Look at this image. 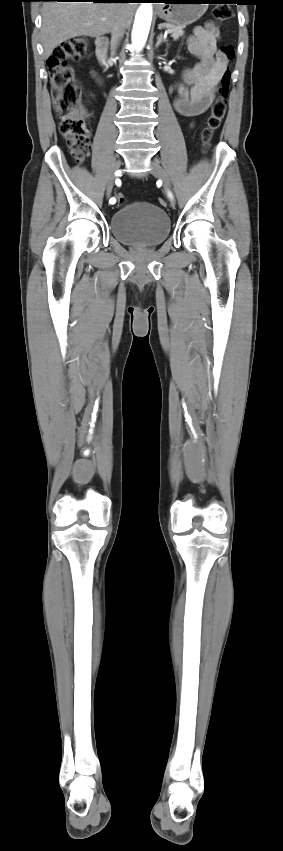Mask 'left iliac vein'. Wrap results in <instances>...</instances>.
<instances>
[{
    "instance_id": "left-iliac-vein-1",
    "label": "left iliac vein",
    "mask_w": 283,
    "mask_h": 851,
    "mask_svg": "<svg viewBox=\"0 0 283 851\" xmlns=\"http://www.w3.org/2000/svg\"><path fill=\"white\" fill-rule=\"evenodd\" d=\"M150 171H151V174L153 176L159 178L162 181L163 187H164L165 191L167 192V194L170 198L171 206L174 207L175 201H174V197H173V194H172V186H171V183H170V180L168 178L167 173L162 168V166L159 164V162L156 161V160H152L150 162Z\"/></svg>"
}]
</instances>
